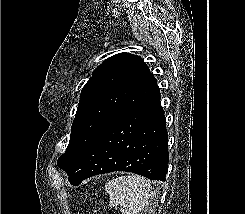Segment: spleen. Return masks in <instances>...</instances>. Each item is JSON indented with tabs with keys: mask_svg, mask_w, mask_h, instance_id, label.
I'll return each instance as SVG.
<instances>
[{
	"mask_svg": "<svg viewBox=\"0 0 245 214\" xmlns=\"http://www.w3.org/2000/svg\"><path fill=\"white\" fill-rule=\"evenodd\" d=\"M109 194V206L120 205L122 214H142L151 193V184L138 175L121 176L106 185Z\"/></svg>",
	"mask_w": 245,
	"mask_h": 214,
	"instance_id": "1",
	"label": "spleen"
}]
</instances>
